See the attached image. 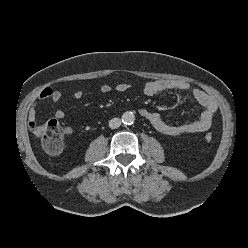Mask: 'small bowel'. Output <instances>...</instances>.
Instances as JSON below:
<instances>
[{"label": "small bowel", "instance_id": "c3829d8e", "mask_svg": "<svg viewBox=\"0 0 248 248\" xmlns=\"http://www.w3.org/2000/svg\"><path fill=\"white\" fill-rule=\"evenodd\" d=\"M130 88L131 85L126 82H121L115 87L118 92H126ZM168 90L189 92L193 96V98L203 107V112L197 120L185 123L171 124L166 122L159 113L150 111L146 108H140V115L147 119L158 132L165 135L177 136L185 133L205 132L211 127L218 108L216 101L203 90L192 87L188 82L168 79L155 80L145 84L143 93L146 96L151 97L160 92ZM100 91L102 94H109L112 91V87L108 84H103L100 87ZM82 97L83 92L81 90H76L72 94V98L75 101L81 100ZM62 98L63 93L60 90L50 87H47L40 92L37 100L32 103L28 115V125L33 133L37 128L36 107L38 101L49 99L57 103L61 101ZM55 117L57 119L64 118L65 111L60 108L57 109L55 111ZM65 131L66 133H71L72 129L67 127Z\"/></svg>", "mask_w": 248, "mask_h": 248}]
</instances>
